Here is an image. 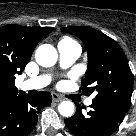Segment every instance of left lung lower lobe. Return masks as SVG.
<instances>
[{
    "label": "left lung lower lobe",
    "mask_w": 136,
    "mask_h": 136,
    "mask_svg": "<svg viewBox=\"0 0 136 136\" xmlns=\"http://www.w3.org/2000/svg\"><path fill=\"white\" fill-rule=\"evenodd\" d=\"M83 108L77 105L76 113L65 119L66 126L76 136H109L128 110L119 104L94 99L87 114L82 113Z\"/></svg>",
    "instance_id": "1"
}]
</instances>
